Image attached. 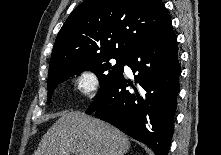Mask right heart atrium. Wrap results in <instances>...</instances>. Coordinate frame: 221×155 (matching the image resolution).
I'll list each match as a JSON object with an SVG mask.
<instances>
[{"label": "right heart atrium", "instance_id": "right-heart-atrium-1", "mask_svg": "<svg viewBox=\"0 0 221 155\" xmlns=\"http://www.w3.org/2000/svg\"><path fill=\"white\" fill-rule=\"evenodd\" d=\"M98 85V78L91 70L79 72L74 79L75 89L84 96H92L97 91Z\"/></svg>", "mask_w": 221, "mask_h": 155}]
</instances>
